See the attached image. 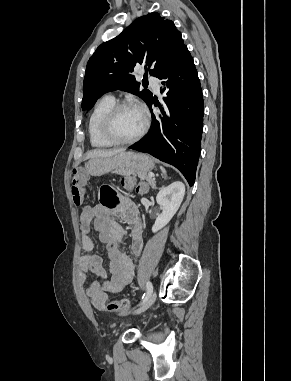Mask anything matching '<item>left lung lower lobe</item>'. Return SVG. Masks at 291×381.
I'll return each instance as SVG.
<instances>
[{"label": "left lung lower lobe", "instance_id": "left-lung-lower-lobe-1", "mask_svg": "<svg viewBox=\"0 0 291 381\" xmlns=\"http://www.w3.org/2000/svg\"><path fill=\"white\" fill-rule=\"evenodd\" d=\"M168 114L152 113L148 134L130 149L149 153L178 168L189 185L195 181L203 130L204 103L200 80L187 47L159 77ZM153 100L148 104L151 112Z\"/></svg>", "mask_w": 291, "mask_h": 381}]
</instances>
